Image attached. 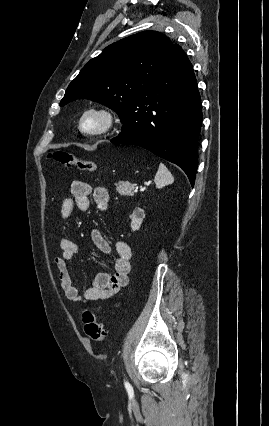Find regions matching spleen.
Listing matches in <instances>:
<instances>
[{"label":"spleen","instance_id":"1","mask_svg":"<svg viewBox=\"0 0 269 426\" xmlns=\"http://www.w3.org/2000/svg\"><path fill=\"white\" fill-rule=\"evenodd\" d=\"M154 181L157 188H162L173 183L174 178L166 166L163 163H160Z\"/></svg>","mask_w":269,"mask_h":426}]
</instances>
